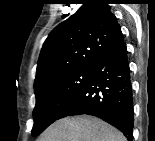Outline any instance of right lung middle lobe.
<instances>
[{
  "label": "right lung middle lobe",
  "mask_w": 155,
  "mask_h": 141,
  "mask_svg": "<svg viewBox=\"0 0 155 141\" xmlns=\"http://www.w3.org/2000/svg\"><path fill=\"white\" fill-rule=\"evenodd\" d=\"M93 72V68H77L55 74L35 86L32 136L41 134L59 119L63 110L76 98Z\"/></svg>",
  "instance_id": "obj_1"
}]
</instances>
